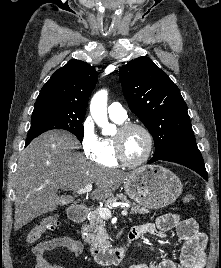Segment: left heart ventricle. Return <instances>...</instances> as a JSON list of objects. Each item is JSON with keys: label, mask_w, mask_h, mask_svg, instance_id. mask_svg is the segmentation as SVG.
Masks as SVG:
<instances>
[{"label": "left heart ventricle", "mask_w": 221, "mask_h": 268, "mask_svg": "<svg viewBox=\"0 0 221 268\" xmlns=\"http://www.w3.org/2000/svg\"><path fill=\"white\" fill-rule=\"evenodd\" d=\"M121 141L123 153L131 161L139 160L146 152L147 138L139 129L128 130L122 135Z\"/></svg>", "instance_id": "obj_1"}]
</instances>
